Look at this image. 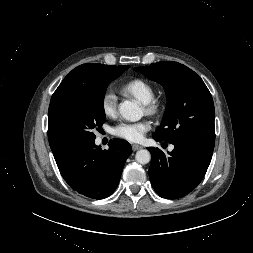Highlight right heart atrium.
Segmentation results:
<instances>
[{"label":"right heart atrium","instance_id":"obj_1","mask_svg":"<svg viewBox=\"0 0 253 253\" xmlns=\"http://www.w3.org/2000/svg\"><path fill=\"white\" fill-rule=\"evenodd\" d=\"M101 110L106 117H114L117 113V97L116 95L107 90L101 98Z\"/></svg>","mask_w":253,"mask_h":253}]
</instances>
